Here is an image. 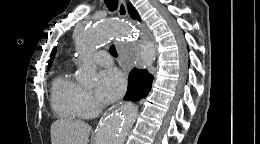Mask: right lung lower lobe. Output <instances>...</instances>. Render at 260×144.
<instances>
[{
    "mask_svg": "<svg viewBox=\"0 0 260 144\" xmlns=\"http://www.w3.org/2000/svg\"><path fill=\"white\" fill-rule=\"evenodd\" d=\"M153 76L146 69L134 68L128 79V89L124 100L136 101L144 98L151 90Z\"/></svg>",
    "mask_w": 260,
    "mask_h": 144,
    "instance_id": "98d812e1",
    "label": "right lung lower lobe"
}]
</instances>
